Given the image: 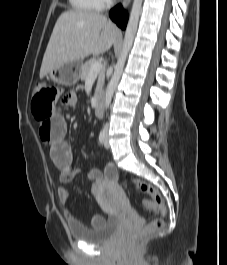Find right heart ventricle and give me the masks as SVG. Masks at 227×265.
Returning a JSON list of instances; mask_svg holds the SVG:
<instances>
[{
  "instance_id": "1",
  "label": "right heart ventricle",
  "mask_w": 227,
  "mask_h": 265,
  "mask_svg": "<svg viewBox=\"0 0 227 265\" xmlns=\"http://www.w3.org/2000/svg\"><path fill=\"white\" fill-rule=\"evenodd\" d=\"M72 8L79 12H91L99 9L97 0H69Z\"/></svg>"
}]
</instances>
